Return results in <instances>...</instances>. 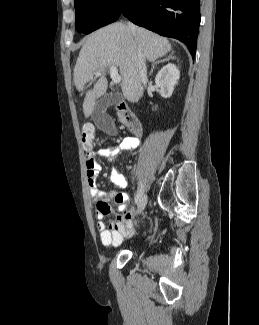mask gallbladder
<instances>
[{
	"label": "gallbladder",
	"instance_id": "1",
	"mask_svg": "<svg viewBox=\"0 0 259 325\" xmlns=\"http://www.w3.org/2000/svg\"><path fill=\"white\" fill-rule=\"evenodd\" d=\"M119 101L120 96L118 94L109 93L96 102L91 116L96 126L105 131H109L111 127H115V122H113L112 118L106 113V110L109 106L115 105ZM112 138H117V133H112Z\"/></svg>",
	"mask_w": 259,
	"mask_h": 325
}]
</instances>
